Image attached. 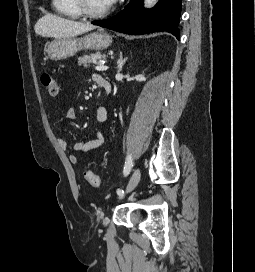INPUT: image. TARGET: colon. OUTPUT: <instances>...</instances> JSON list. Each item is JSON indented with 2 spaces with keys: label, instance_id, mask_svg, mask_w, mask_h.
Wrapping results in <instances>:
<instances>
[{
  "label": "colon",
  "instance_id": "1",
  "mask_svg": "<svg viewBox=\"0 0 255 272\" xmlns=\"http://www.w3.org/2000/svg\"><path fill=\"white\" fill-rule=\"evenodd\" d=\"M41 83L45 88L48 96L55 98L59 94V84L50 73H43L41 75ZM86 181L93 187H100L102 185L101 179L98 175L87 169L84 172Z\"/></svg>",
  "mask_w": 255,
  "mask_h": 272
}]
</instances>
